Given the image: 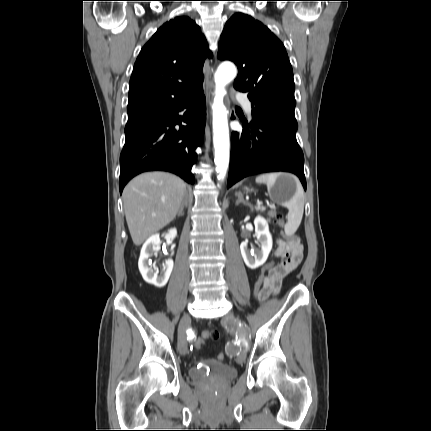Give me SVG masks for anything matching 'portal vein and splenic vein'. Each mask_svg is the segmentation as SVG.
<instances>
[{"label":"portal vein and splenic vein","instance_id":"obj_1","mask_svg":"<svg viewBox=\"0 0 431 431\" xmlns=\"http://www.w3.org/2000/svg\"><path fill=\"white\" fill-rule=\"evenodd\" d=\"M261 204H262V202H259V201L257 202V206H260Z\"/></svg>","mask_w":431,"mask_h":431}]
</instances>
